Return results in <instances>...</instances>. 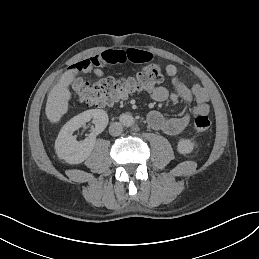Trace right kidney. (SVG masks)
Instances as JSON below:
<instances>
[{"label": "right kidney", "instance_id": "1", "mask_svg": "<svg viewBox=\"0 0 259 259\" xmlns=\"http://www.w3.org/2000/svg\"><path fill=\"white\" fill-rule=\"evenodd\" d=\"M91 119L95 128L86 139L77 141L72 135L73 132ZM107 124L108 115L102 109L87 110L70 119L62 127L55 141V150L58 157L69 164L82 163L91 154L96 136L106 128Z\"/></svg>", "mask_w": 259, "mask_h": 259}]
</instances>
